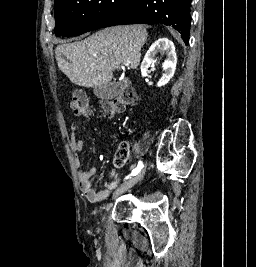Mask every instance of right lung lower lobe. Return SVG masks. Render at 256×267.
Listing matches in <instances>:
<instances>
[{
  "label": "right lung lower lobe",
  "instance_id": "98d812e1",
  "mask_svg": "<svg viewBox=\"0 0 256 267\" xmlns=\"http://www.w3.org/2000/svg\"><path fill=\"white\" fill-rule=\"evenodd\" d=\"M192 0H135L119 16L102 28L121 24H155L172 26L187 45L191 26Z\"/></svg>",
  "mask_w": 256,
  "mask_h": 267
}]
</instances>
